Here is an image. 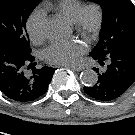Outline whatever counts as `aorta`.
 I'll return each instance as SVG.
<instances>
[{
  "label": "aorta",
  "mask_w": 135,
  "mask_h": 135,
  "mask_svg": "<svg viewBox=\"0 0 135 135\" xmlns=\"http://www.w3.org/2000/svg\"><path fill=\"white\" fill-rule=\"evenodd\" d=\"M42 33L48 40H58L63 36L64 26L59 20L50 18L44 22ZM80 80L86 86H93L97 83L98 75L94 70L86 69L81 73Z\"/></svg>",
  "instance_id": "obj_1"
}]
</instances>
